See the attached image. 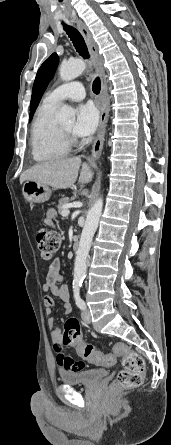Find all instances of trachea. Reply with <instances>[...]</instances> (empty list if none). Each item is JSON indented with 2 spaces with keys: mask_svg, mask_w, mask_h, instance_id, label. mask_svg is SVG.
Returning <instances> with one entry per match:
<instances>
[{
  "mask_svg": "<svg viewBox=\"0 0 171 445\" xmlns=\"http://www.w3.org/2000/svg\"><path fill=\"white\" fill-rule=\"evenodd\" d=\"M63 26L64 30L72 40V43L76 51L79 53V55H81L84 59H88L89 53L82 35L78 32L77 29L73 28L72 26H68L66 24H63ZM100 89H101V81L100 78L97 77L93 81L92 90L95 94H99Z\"/></svg>",
  "mask_w": 171,
  "mask_h": 445,
  "instance_id": "3493384b",
  "label": "trachea"
}]
</instances>
